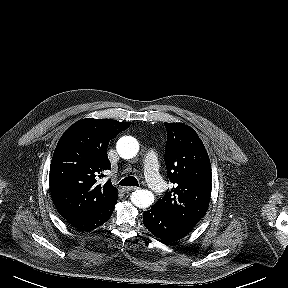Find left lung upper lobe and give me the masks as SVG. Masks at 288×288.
Returning a JSON list of instances; mask_svg holds the SVG:
<instances>
[{"mask_svg": "<svg viewBox=\"0 0 288 288\" xmlns=\"http://www.w3.org/2000/svg\"><path fill=\"white\" fill-rule=\"evenodd\" d=\"M167 143L165 164L170 182L175 184L156 208L170 217L195 226L206 214L212 187L208 153L197 133L181 123H165Z\"/></svg>", "mask_w": 288, "mask_h": 288, "instance_id": "obj_1", "label": "left lung upper lobe"}]
</instances>
